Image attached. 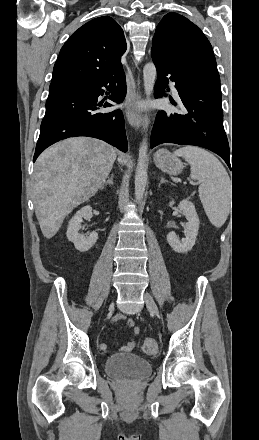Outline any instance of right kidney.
Wrapping results in <instances>:
<instances>
[{"label":"right kidney","instance_id":"obj_1","mask_svg":"<svg viewBox=\"0 0 259 440\" xmlns=\"http://www.w3.org/2000/svg\"><path fill=\"white\" fill-rule=\"evenodd\" d=\"M92 217V207L85 206L81 208L70 220L67 229V238L69 241L73 242L75 248L80 252H86L91 247L94 246L98 240V233L92 232L88 237L83 236L79 233L81 228V222L83 218Z\"/></svg>","mask_w":259,"mask_h":440}]
</instances>
